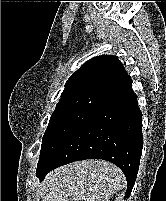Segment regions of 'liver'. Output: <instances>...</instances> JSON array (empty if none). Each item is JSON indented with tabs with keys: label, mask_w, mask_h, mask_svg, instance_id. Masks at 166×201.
Wrapping results in <instances>:
<instances>
[{
	"label": "liver",
	"mask_w": 166,
	"mask_h": 201,
	"mask_svg": "<svg viewBox=\"0 0 166 201\" xmlns=\"http://www.w3.org/2000/svg\"><path fill=\"white\" fill-rule=\"evenodd\" d=\"M124 185V174L114 164L83 160L49 172L38 193L42 201H109Z\"/></svg>",
	"instance_id": "1"
}]
</instances>
